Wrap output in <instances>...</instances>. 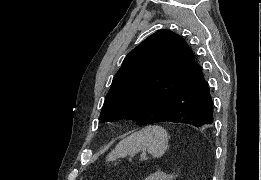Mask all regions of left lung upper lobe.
I'll return each instance as SVG.
<instances>
[{
    "label": "left lung upper lobe",
    "mask_w": 261,
    "mask_h": 180,
    "mask_svg": "<svg viewBox=\"0 0 261 180\" xmlns=\"http://www.w3.org/2000/svg\"><path fill=\"white\" fill-rule=\"evenodd\" d=\"M188 44L170 30H159L124 59L107 93L100 119H135L151 124L167 107L195 67Z\"/></svg>",
    "instance_id": "obj_1"
}]
</instances>
